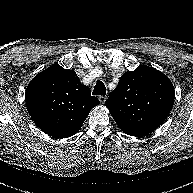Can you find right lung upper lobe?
Returning <instances> with one entry per match:
<instances>
[{"instance_id": "cb5924a9", "label": "right lung upper lobe", "mask_w": 193, "mask_h": 193, "mask_svg": "<svg viewBox=\"0 0 193 193\" xmlns=\"http://www.w3.org/2000/svg\"><path fill=\"white\" fill-rule=\"evenodd\" d=\"M25 102L34 123L55 138L76 134L90 110L99 104L73 70L52 65L27 86Z\"/></svg>"}]
</instances>
